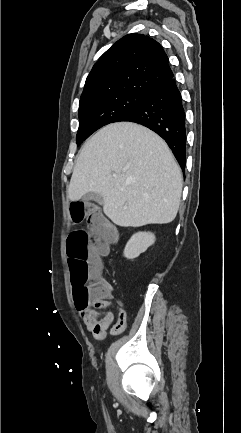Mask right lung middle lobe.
I'll return each mask as SVG.
<instances>
[{
  "label": "right lung middle lobe",
  "instance_id": "dd1d6c3e",
  "mask_svg": "<svg viewBox=\"0 0 241 433\" xmlns=\"http://www.w3.org/2000/svg\"><path fill=\"white\" fill-rule=\"evenodd\" d=\"M145 97L143 92L125 91L79 103L77 145L102 126L121 121L136 110Z\"/></svg>",
  "mask_w": 241,
  "mask_h": 433
}]
</instances>
